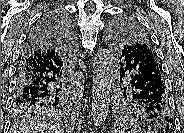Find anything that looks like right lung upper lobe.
Returning <instances> with one entry per match:
<instances>
[{
	"mask_svg": "<svg viewBox=\"0 0 184 133\" xmlns=\"http://www.w3.org/2000/svg\"><path fill=\"white\" fill-rule=\"evenodd\" d=\"M39 35L43 38V45L49 52H55L63 47L62 39H59L58 35L51 33L48 28L40 31Z\"/></svg>",
	"mask_w": 184,
	"mask_h": 133,
	"instance_id": "obj_1",
	"label": "right lung upper lobe"
}]
</instances>
